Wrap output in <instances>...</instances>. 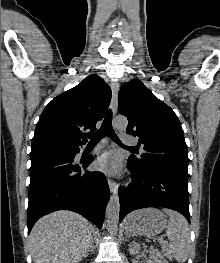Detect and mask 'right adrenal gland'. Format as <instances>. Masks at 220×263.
<instances>
[{
	"label": "right adrenal gland",
	"mask_w": 220,
	"mask_h": 263,
	"mask_svg": "<svg viewBox=\"0 0 220 263\" xmlns=\"http://www.w3.org/2000/svg\"><path fill=\"white\" fill-rule=\"evenodd\" d=\"M94 250V241L92 240L91 243H90V246L85 254V257H87L89 255V252H93Z\"/></svg>",
	"instance_id": "1"
}]
</instances>
